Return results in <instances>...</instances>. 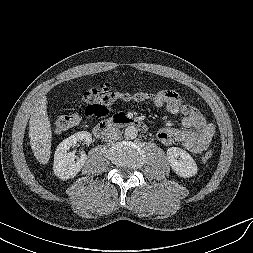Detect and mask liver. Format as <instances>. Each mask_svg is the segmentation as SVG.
I'll use <instances>...</instances> for the list:
<instances>
[{
	"label": "liver",
	"instance_id": "liver-1",
	"mask_svg": "<svg viewBox=\"0 0 253 253\" xmlns=\"http://www.w3.org/2000/svg\"><path fill=\"white\" fill-rule=\"evenodd\" d=\"M47 98H42L34 106L29 121L31 149L40 164H47L51 155L52 130L47 115Z\"/></svg>",
	"mask_w": 253,
	"mask_h": 253
}]
</instances>
